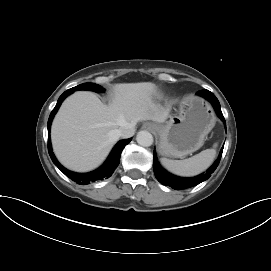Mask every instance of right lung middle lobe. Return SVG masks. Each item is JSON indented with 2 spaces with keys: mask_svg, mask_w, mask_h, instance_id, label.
<instances>
[{
  "mask_svg": "<svg viewBox=\"0 0 271 271\" xmlns=\"http://www.w3.org/2000/svg\"><path fill=\"white\" fill-rule=\"evenodd\" d=\"M72 91H75V90H92V91H95V92H104L105 89L97 84H94V83H84V84H81V85H78L76 87H73L71 88Z\"/></svg>",
  "mask_w": 271,
  "mask_h": 271,
  "instance_id": "dd1d6c3e",
  "label": "right lung middle lobe"
}]
</instances>
